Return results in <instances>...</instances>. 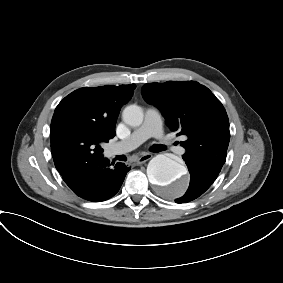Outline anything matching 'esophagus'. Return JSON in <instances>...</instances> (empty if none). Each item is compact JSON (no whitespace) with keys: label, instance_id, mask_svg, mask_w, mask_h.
Returning a JSON list of instances; mask_svg holds the SVG:
<instances>
[{"label":"esophagus","instance_id":"obj_1","mask_svg":"<svg viewBox=\"0 0 283 283\" xmlns=\"http://www.w3.org/2000/svg\"><path fill=\"white\" fill-rule=\"evenodd\" d=\"M152 158V154L144 153L137 159V164H143Z\"/></svg>","mask_w":283,"mask_h":283}]
</instances>
